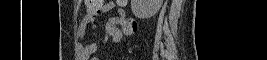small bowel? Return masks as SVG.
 <instances>
[{
	"label": "small bowel",
	"instance_id": "c3829d8e",
	"mask_svg": "<svg viewBox=\"0 0 267 60\" xmlns=\"http://www.w3.org/2000/svg\"><path fill=\"white\" fill-rule=\"evenodd\" d=\"M117 6V13L114 16L108 18L105 25V35L102 41H94L86 45L83 48V55L89 57L97 52V50L106 42L118 43L122 40L123 36H131L135 33L136 28L132 29L129 27L134 21L133 18L128 17L126 14L125 4L114 1H105L104 12L112 10ZM98 16L86 15L79 26L78 35L81 39L88 37L90 30H96L95 22Z\"/></svg>",
	"mask_w": 267,
	"mask_h": 60
}]
</instances>
